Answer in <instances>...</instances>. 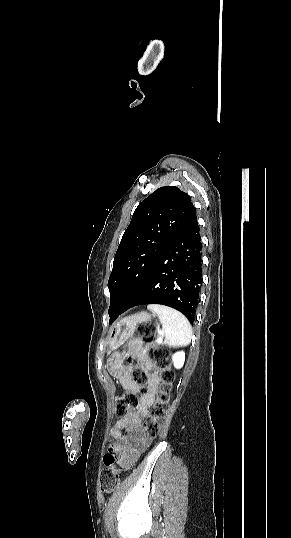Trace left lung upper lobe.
<instances>
[{
    "instance_id": "obj_1",
    "label": "left lung upper lobe",
    "mask_w": 291,
    "mask_h": 538,
    "mask_svg": "<svg viewBox=\"0 0 291 538\" xmlns=\"http://www.w3.org/2000/svg\"><path fill=\"white\" fill-rule=\"evenodd\" d=\"M195 216L190 196L175 186L157 189L137 206L114 257L109 316L134 300L160 255Z\"/></svg>"
}]
</instances>
